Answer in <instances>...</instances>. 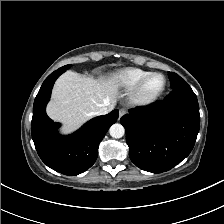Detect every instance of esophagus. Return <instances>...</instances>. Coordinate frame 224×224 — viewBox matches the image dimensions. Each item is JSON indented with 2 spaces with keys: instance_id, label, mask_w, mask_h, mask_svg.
I'll return each instance as SVG.
<instances>
[{
  "instance_id": "obj_1",
  "label": "esophagus",
  "mask_w": 224,
  "mask_h": 224,
  "mask_svg": "<svg viewBox=\"0 0 224 224\" xmlns=\"http://www.w3.org/2000/svg\"><path fill=\"white\" fill-rule=\"evenodd\" d=\"M126 112H127V111H126L125 109H123V108L120 109V110H119V119H120L121 117H123V116L126 114Z\"/></svg>"
}]
</instances>
